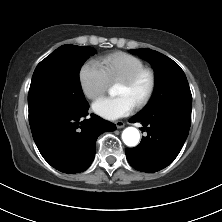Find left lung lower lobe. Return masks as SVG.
I'll return each mask as SVG.
<instances>
[{
	"instance_id": "left-lung-lower-lobe-1",
	"label": "left lung lower lobe",
	"mask_w": 222,
	"mask_h": 222,
	"mask_svg": "<svg viewBox=\"0 0 222 222\" xmlns=\"http://www.w3.org/2000/svg\"><path fill=\"white\" fill-rule=\"evenodd\" d=\"M130 122H141L148 135L135 148H126L130 165L143 172H156L168 166L181 151L191 125V109L166 104L140 112Z\"/></svg>"
}]
</instances>
